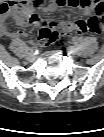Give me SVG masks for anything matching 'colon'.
<instances>
[{
    "label": "colon",
    "mask_w": 104,
    "mask_h": 137,
    "mask_svg": "<svg viewBox=\"0 0 104 137\" xmlns=\"http://www.w3.org/2000/svg\"><path fill=\"white\" fill-rule=\"evenodd\" d=\"M90 23L95 27H99V25L102 23V18L95 16L92 18ZM61 33L62 30L59 28H55L50 25H41V29L39 32V42L44 45L54 43L59 40Z\"/></svg>",
    "instance_id": "obj_1"
}]
</instances>
